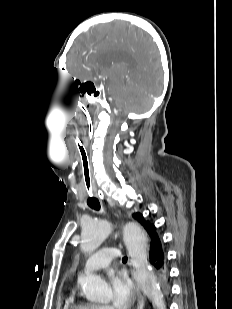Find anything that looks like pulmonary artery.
<instances>
[{"label": "pulmonary artery", "mask_w": 232, "mask_h": 309, "mask_svg": "<svg viewBox=\"0 0 232 309\" xmlns=\"http://www.w3.org/2000/svg\"><path fill=\"white\" fill-rule=\"evenodd\" d=\"M120 256V252L115 247H106L101 251L94 253L85 262V269L95 271L104 268L109 262Z\"/></svg>", "instance_id": "obj_1"}]
</instances>
